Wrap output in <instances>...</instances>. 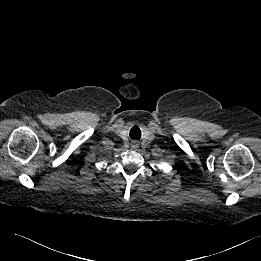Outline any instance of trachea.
Listing matches in <instances>:
<instances>
[{
	"mask_svg": "<svg viewBox=\"0 0 261 261\" xmlns=\"http://www.w3.org/2000/svg\"><path fill=\"white\" fill-rule=\"evenodd\" d=\"M137 129V131H138V133L140 132V129L138 128V127H133L132 129H131V132L133 133V130H136ZM130 132V133H131ZM131 138H133V136H131ZM136 139H138V138H136Z\"/></svg>",
	"mask_w": 261,
	"mask_h": 261,
	"instance_id": "1",
	"label": "trachea"
}]
</instances>
